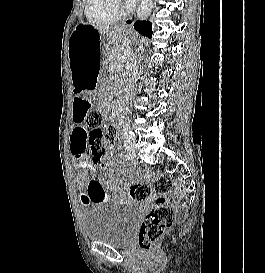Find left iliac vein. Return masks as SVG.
<instances>
[{"label": "left iliac vein", "mask_w": 265, "mask_h": 273, "mask_svg": "<svg viewBox=\"0 0 265 273\" xmlns=\"http://www.w3.org/2000/svg\"><path fill=\"white\" fill-rule=\"evenodd\" d=\"M124 146L127 151V153L130 155V157L135 158L136 157V151H135V140L126 138L124 141Z\"/></svg>", "instance_id": "left-iliac-vein-1"}]
</instances>
